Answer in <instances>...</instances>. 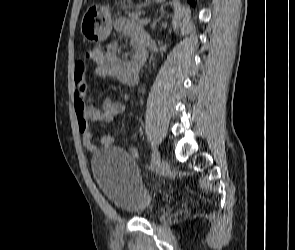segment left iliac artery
Returning <instances> with one entry per match:
<instances>
[{
  "mask_svg": "<svg viewBox=\"0 0 295 250\" xmlns=\"http://www.w3.org/2000/svg\"><path fill=\"white\" fill-rule=\"evenodd\" d=\"M153 154H152V163H151V170H153L157 166V161L154 159V155L157 151V149L152 145Z\"/></svg>",
  "mask_w": 295,
  "mask_h": 250,
  "instance_id": "obj_1",
  "label": "left iliac artery"
}]
</instances>
